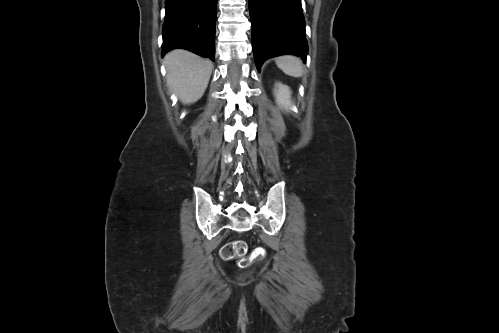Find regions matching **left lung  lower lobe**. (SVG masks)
Listing matches in <instances>:
<instances>
[{
    "instance_id": "0a47b994",
    "label": "left lung lower lobe",
    "mask_w": 499,
    "mask_h": 333,
    "mask_svg": "<svg viewBox=\"0 0 499 333\" xmlns=\"http://www.w3.org/2000/svg\"><path fill=\"white\" fill-rule=\"evenodd\" d=\"M249 12L258 70L267 59L284 54L306 61L308 45L301 0H249Z\"/></svg>"
}]
</instances>
